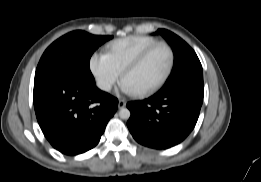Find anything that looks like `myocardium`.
<instances>
[{
    "mask_svg": "<svg viewBox=\"0 0 261 182\" xmlns=\"http://www.w3.org/2000/svg\"><path fill=\"white\" fill-rule=\"evenodd\" d=\"M159 47H165L168 49L169 53H170V62H169V66L167 68L166 73L164 74V76L153 86L146 88L144 90L141 91H136L134 92L136 95L138 96H145L148 94H151L157 90H159L169 79V77L172 74V71L174 69V65H175V52L173 50V48L166 42H158L152 46H150L149 48H147L146 50H144L140 55H138L122 72V80L123 82H125L126 77L133 72L134 70H136L139 66H141V64L147 59V57L157 48Z\"/></svg>",
    "mask_w": 261,
    "mask_h": 182,
    "instance_id": "obj_1",
    "label": "myocardium"
}]
</instances>
